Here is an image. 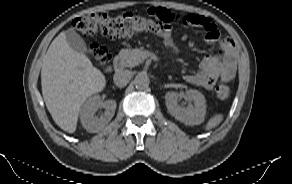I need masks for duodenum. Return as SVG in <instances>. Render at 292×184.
Here are the masks:
<instances>
[{
  "label": "duodenum",
  "instance_id": "obj_1",
  "mask_svg": "<svg viewBox=\"0 0 292 184\" xmlns=\"http://www.w3.org/2000/svg\"><path fill=\"white\" fill-rule=\"evenodd\" d=\"M113 66H114V69L116 71H118V72L122 71L124 69V66H125V62H124L123 56H121V55L117 56L114 59Z\"/></svg>",
  "mask_w": 292,
  "mask_h": 184
}]
</instances>
